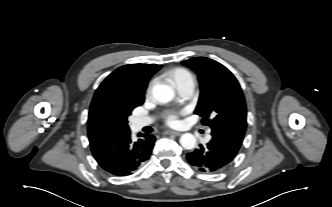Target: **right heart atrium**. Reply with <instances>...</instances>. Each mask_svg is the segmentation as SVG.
<instances>
[{
  "label": "right heart atrium",
  "mask_w": 332,
  "mask_h": 207,
  "mask_svg": "<svg viewBox=\"0 0 332 207\" xmlns=\"http://www.w3.org/2000/svg\"><path fill=\"white\" fill-rule=\"evenodd\" d=\"M150 88H151V84L148 86V91L150 90Z\"/></svg>",
  "instance_id": "right-heart-atrium-1"
}]
</instances>
